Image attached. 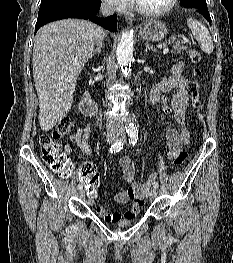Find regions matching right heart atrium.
I'll list each match as a JSON object with an SVG mask.
<instances>
[{
    "label": "right heart atrium",
    "instance_id": "d8ad5b80",
    "mask_svg": "<svg viewBox=\"0 0 233 263\" xmlns=\"http://www.w3.org/2000/svg\"><path fill=\"white\" fill-rule=\"evenodd\" d=\"M105 5L119 12L125 11L130 4V0H102Z\"/></svg>",
    "mask_w": 233,
    "mask_h": 263
}]
</instances>
